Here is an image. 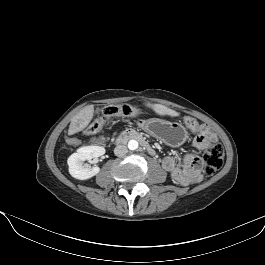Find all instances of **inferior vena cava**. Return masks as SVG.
<instances>
[{"label": "inferior vena cava", "instance_id": "obj_1", "mask_svg": "<svg viewBox=\"0 0 265 265\" xmlns=\"http://www.w3.org/2000/svg\"><path fill=\"white\" fill-rule=\"evenodd\" d=\"M127 147L125 145H117L114 149V154L116 156H123L127 153Z\"/></svg>", "mask_w": 265, "mask_h": 265}]
</instances>
